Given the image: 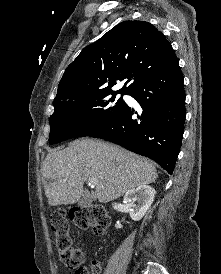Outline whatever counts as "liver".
Here are the masks:
<instances>
[{"label":"liver","instance_id":"liver-1","mask_svg":"<svg viewBox=\"0 0 221 274\" xmlns=\"http://www.w3.org/2000/svg\"><path fill=\"white\" fill-rule=\"evenodd\" d=\"M44 191L50 206L74 204L83 184L96 179L91 199L108 203L140 185L156 181L155 164L119 146L95 139L76 140L51 151L42 167Z\"/></svg>","mask_w":221,"mask_h":274}]
</instances>
